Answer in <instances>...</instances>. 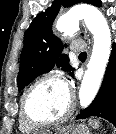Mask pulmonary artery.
Segmentation results:
<instances>
[{
	"instance_id": "1",
	"label": "pulmonary artery",
	"mask_w": 116,
	"mask_h": 134,
	"mask_svg": "<svg viewBox=\"0 0 116 134\" xmlns=\"http://www.w3.org/2000/svg\"><path fill=\"white\" fill-rule=\"evenodd\" d=\"M86 43L83 40H74L71 43L70 49L73 53H80L85 50Z\"/></svg>"
}]
</instances>
